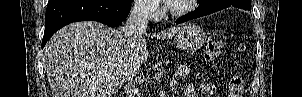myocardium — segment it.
<instances>
[{"label": "myocardium", "mask_w": 302, "mask_h": 97, "mask_svg": "<svg viewBox=\"0 0 302 97\" xmlns=\"http://www.w3.org/2000/svg\"><path fill=\"white\" fill-rule=\"evenodd\" d=\"M181 7H174L172 4H165L164 10L173 17L184 16L194 10L197 0H187Z\"/></svg>", "instance_id": "myocardium-1"}]
</instances>
